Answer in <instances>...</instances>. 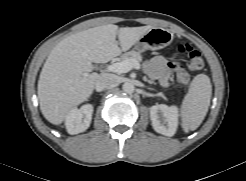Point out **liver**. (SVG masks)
Masks as SVG:
<instances>
[{
    "label": "liver",
    "mask_w": 246,
    "mask_h": 181,
    "mask_svg": "<svg viewBox=\"0 0 246 181\" xmlns=\"http://www.w3.org/2000/svg\"><path fill=\"white\" fill-rule=\"evenodd\" d=\"M151 29L150 25L118 28L107 24L60 41L48 55L38 81L40 110L46 120L61 124L73 108L91 96L99 76L90 73L92 62L106 63L119 56Z\"/></svg>",
    "instance_id": "liver-1"
}]
</instances>
